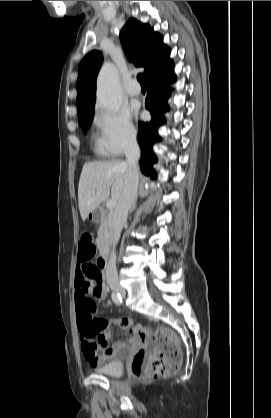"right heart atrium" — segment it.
<instances>
[{"label": "right heart atrium", "mask_w": 271, "mask_h": 418, "mask_svg": "<svg viewBox=\"0 0 271 418\" xmlns=\"http://www.w3.org/2000/svg\"><path fill=\"white\" fill-rule=\"evenodd\" d=\"M95 121L100 144L108 155L118 156L135 144L137 132L128 112L99 109Z\"/></svg>", "instance_id": "obj_1"}]
</instances>
